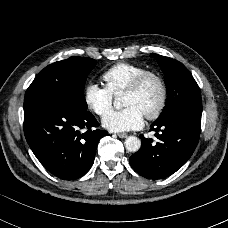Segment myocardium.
<instances>
[{
  "label": "myocardium",
  "instance_id": "1",
  "mask_svg": "<svg viewBox=\"0 0 228 228\" xmlns=\"http://www.w3.org/2000/svg\"><path fill=\"white\" fill-rule=\"evenodd\" d=\"M150 78L155 79L161 88V99H160L158 106L152 112L144 114L145 118H147L149 120H154V119L159 118L160 115L163 113V111L166 107V104H167V100H168L167 85H166L165 80L159 73H157L155 71H150V70H147V71L141 73L126 88L125 93L138 92L143 87L144 83Z\"/></svg>",
  "mask_w": 228,
  "mask_h": 228
}]
</instances>
